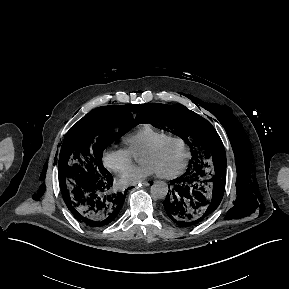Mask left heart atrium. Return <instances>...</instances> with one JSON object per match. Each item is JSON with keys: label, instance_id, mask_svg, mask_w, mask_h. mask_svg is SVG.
Segmentation results:
<instances>
[{"label": "left heart atrium", "instance_id": "1", "mask_svg": "<svg viewBox=\"0 0 289 289\" xmlns=\"http://www.w3.org/2000/svg\"><path fill=\"white\" fill-rule=\"evenodd\" d=\"M154 174L158 173L152 165L148 163H141L140 165L125 171L118 178V184L123 187L129 185H136Z\"/></svg>", "mask_w": 289, "mask_h": 289}]
</instances>
